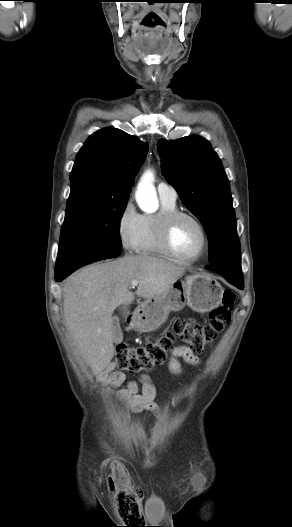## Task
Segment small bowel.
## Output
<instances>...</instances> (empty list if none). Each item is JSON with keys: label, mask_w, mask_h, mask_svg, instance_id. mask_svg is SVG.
<instances>
[{"label": "small bowel", "mask_w": 292, "mask_h": 527, "mask_svg": "<svg viewBox=\"0 0 292 527\" xmlns=\"http://www.w3.org/2000/svg\"><path fill=\"white\" fill-rule=\"evenodd\" d=\"M180 359L188 364L196 365L199 363V358L187 346H177L171 352V358L168 366L171 373L178 375L181 373ZM103 376L105 380L114 388L119 387L126 381L124 372L117 370L113 364L109 365ZM141 391L139 392V390ZM126 407L133 413L142 411H152L159 413V407L154 402L156 390L150 378L146 374L139 375L136 379L127 382V387L118 391L116 394Z\"/></svg>", "instance_id": "small-bowel-1"}]
</instances>
